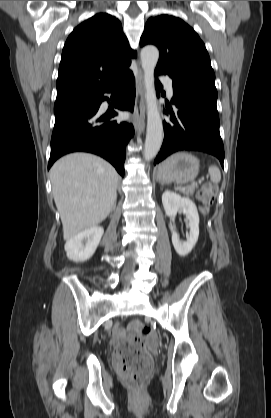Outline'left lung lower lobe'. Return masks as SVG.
<instances>
[{
	"instance_id": "left-lung-lower-lobe-1",
	"label": "left lung lower lobe",
	"mask_w": 271,
	"mask_h": 418,
	"mask_svg": "<svg viewBox=\"0 0 271 418\" xmlns=\"http://www.w3.org/2000/svg\"><path fill=\"white\" fill-rule=\"evenodd\" d=\"M155 74H165L155 69ZM157 93L162 85L156 79ZM176 106L166 107L173 118L164 120V141L154 165L170 154L181 150L202 151L216 156L221 165L224 161V146L219 133V115L216 107L217 94L207 89L173 81Z\"/></svg>"
}]
</instances>
